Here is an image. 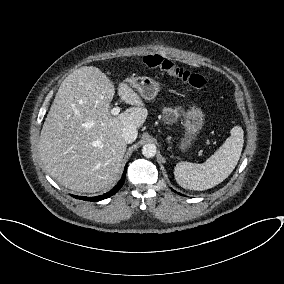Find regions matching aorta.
Returning <instances> with one entry per match:
<instances>
[{"instance_id":"762f6f07","label":"aorta","mask_w":284,"mask_h":284,"mask_svg":"<svg viewBox=\"0 0 284 284\" xmlns=\"http://www.w3.org/2000/svg\"><path fill=\"white\" fill-rule=\"evenodd\" d=\"M156 146L153 143H147L142 147V154L146 158H152L156 155Z\"/></svg>"}]
</instances>
